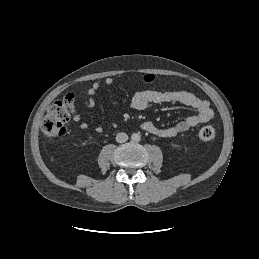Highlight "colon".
Segmentation results:
<instances>
[{
	"instance_id": "5ec220e1",
	"label": "colon",
	"mask_w": 259,
	"mask_h": 259,
	"mask_svg": "<svg viewBox=\"0 0 259 259\" xmlns=\"http://www.w3.org/2000/svg\"><path fill=\"white\" fill-rule=\"evenodd\" d=\"M144 80L147 85L155 84L154 77L151 75L145 76ZM74 110L75 96L72 93L50 105L41 124V130L49 141H54L65 134L66 124ZM214 137L215 130L210 125L203 126L198 131V138L201 141L208 142Z\"/></svg>"
}]
</instances>
